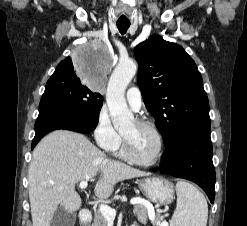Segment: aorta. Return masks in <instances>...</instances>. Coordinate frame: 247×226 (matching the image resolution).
<instances>
[{"mask_svg": "<svg viewBox=\"0 0 247 226\" xmlns=\"http://www.w3.org/2000/svg\"><path fill=\"white\" fill-rule=\"evenodd\" d=\"M137 64L133 60H121L115 67L107 85L106 101L115 128L130 125L133 114L125 100V90L136 74Z\"/></svg>", "mask_w": 247, "mask_h": 226, "instance_id": "1", "label": "aorta"}]
</instances>
